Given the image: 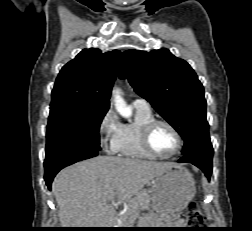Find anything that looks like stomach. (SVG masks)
I'll return each mask as SVG.
<instances>
[{
	"instance_id": "0dacf381",
	"label": "stomach",
	"mask_w": 252,
	"mask_h": 231,
	"mask_svg": "<svg viewBox=\"0 0 252 231\" xmlns=\"http://www.w3.org/2000/svg\"><path fill=\"white\" fill-rule=\"evenodd\" d=\"M196 193L190 172L181 166L156 176L150 189L151 205L158 213H177L185 209Z\"/></svg>"
}]
</instances>
